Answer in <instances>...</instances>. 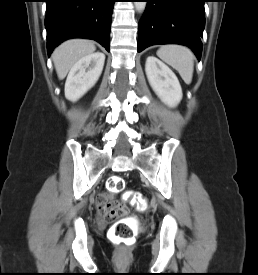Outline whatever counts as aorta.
<instances>
[{"instance_id":"762f6f07","label":"aorta","mask_w":258,"mask_h":275,"mask_svg":"<svg viewBox=\"0 0 258 275\" xmlns=\"http://www.w3.org/2000/svg\"><path fill=\"white\" fill-rule=\"evenodd\" d=\"M146 7V2H135V8L138 12L144 11Z\"/></svg>"}]
</instances>
